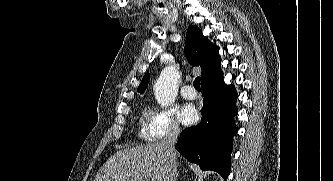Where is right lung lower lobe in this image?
Returning a JSON list of instances; mask_svg holds the SVG:
<instances>
[{
  "mask_svg": "<svg viewBox=\"0 0 333 181\" xmlns=\"http://www.w3.org/2000/svg\"><path fill=\"white\" fill-rule=\"evenodd\" d=\"M201 90V122L182 131L175 148L202 170H214L226 179L231 169L233 136L237 132L233 121L237 94L233 86L224 84L223 78L201 86Z\"/></svg>",
  "mask_w": 333,
  "mask_h": 181,
  "instance_id": "98d812e1",
  "label": "right lung lower lobe"
}]
</instances>
